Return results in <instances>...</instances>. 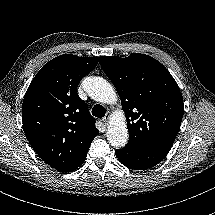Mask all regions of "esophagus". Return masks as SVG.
Returning <instances> with one entry per match:
<instances>
[{
  "label": "esophagus",
  "instance_id": "obj_1",
  "mask_svg": "<svg viewBox=\"0 0 215 215\" xmlns=\"http://www.w3.org/2000/svg\"><path fill=\"white\" fill-rule=\"evenodd\" d=\"M110 117H111L110 112H107L106 115L103 117L102 122H103L105 125H107L108 122L110 121Z\"/></svg>",
  "mask_w": 215,
  "mask_h": 215
}]
</instances>
